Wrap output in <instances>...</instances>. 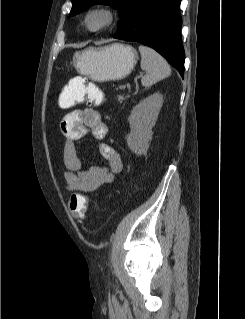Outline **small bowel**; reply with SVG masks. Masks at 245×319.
I'll use <instances>...</instances> for the list:
<instances>
[{"instance_id":"c3829d8e","label":"small bowel","mask_w":245,"mask_h":319,"mask_svg":"<svg viewBox=\"0 0 245 319\" xmlns=\"http://www.w3.org/2000/svg\"><path fill=\"white\" fill-rule=\"evenodd\" d=\"M83 83L81 77H73L63 88L60 97V106L66 105L75 99ZM63 136V160L66 166V190L94 192L102 185L111 183L114 177L123 170V163L119 154L107 143L99 145V151L106 160L104 167L91 166L82 168L75 142L91 134L97 140H103L107 134V125L101 114L93 107L74 109L63 117L60 123Z\"/></svg>"}]
</instances>
